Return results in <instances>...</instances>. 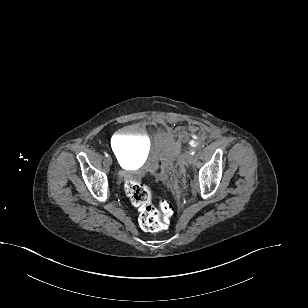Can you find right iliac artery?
Returning a JSON list of instances; mask_svg holds the SVG:
<instances>
[{"label":"right iliac artery","instance_id":"right-iliac-artery-1","mask_svg":"<svg viewBox=\"0 0 308 308\" xmlns=\"http://www.w3.org/2000/svg\"><path fill=\"white\" fill-rule=\"evenodd\" d=\"M104 154H105L106 157H108V154L106 152Z\"/></svg>","mask_w":308,"mask_h":308}]
</instances>
